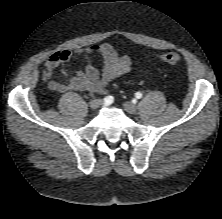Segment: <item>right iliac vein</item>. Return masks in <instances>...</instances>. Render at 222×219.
<instances>
[{
  "mask_svg": "<svg viewBox=\"0 0 222 219\" xmlns=\"http://www.w3.org/2000/svg\"><path fill=\"white\" fill-rule=\"evenodd\" d=\"M102 104V101L99 99H94L89 103L91 109H96Z\"/></svg>",
  "mask_w": 222,
  "mask_h": 219,
  "instance_id": "obj_1",
  "label": "right iliac vein"
}]
</instances>
